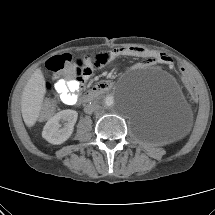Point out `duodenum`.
Segmentation results:
<instances>
[{
    "instance_id": "duodenum-1",
    "label": "duodenum",
    "mask_w": 215,
    "mask_h": 215,
    "mask_svg": "<svg viewBox=\"0 0 215 215\" xmlns=\"http://www.w3.org/2000/svg\"><path fill=\"white\" fill-rule=\"evenodd\" d=\"M113 87V84L111 82L105 81L100 82L93 86L91 89H89L84 96L82 97V102L84 104H87L91 101H93L96 97H98L101 94H104L108 91H110Z\"/></svg>"
}]
</instances>
